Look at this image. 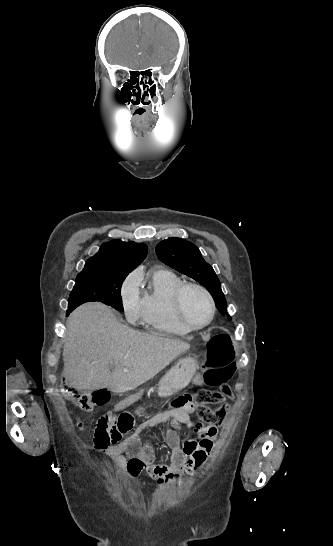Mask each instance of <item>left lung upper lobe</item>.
Listing matches in <instances>:
<instances>
[{
	"label": "left lung upper lobe",
	"instance_id": "left-lung-upper-lobe-1",
	"mask_svg": "<svg viewBox=\"0 0 333 546\" xmlns=\"http://www.w3.org/2000/svg\"><path fill=\"white\" fill-rule=\"evenodd\" d=\"M156 254L166 265L203 285L212 295L219 312L222 315L227 314V303L220 281L193 243L180 238H169L158 243ZM228 319L231 320V317L228 316Z\"/></svg>",
	"mask_w": 333,
	"mask_h": 546
}]
</instances>
